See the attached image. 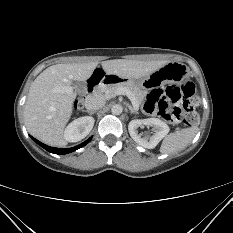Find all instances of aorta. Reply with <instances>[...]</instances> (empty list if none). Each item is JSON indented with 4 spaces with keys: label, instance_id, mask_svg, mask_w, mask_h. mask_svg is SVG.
<instances>
[{
    "label": "aorta",
    "instance_id": "obj_1",
    "mask_svg": "<svg viewBox=\"0 0 233 233\" xmlns=\"http://www.w3.org/2000/svg\"><path fill=\"white\" fill-rule=\"evenodd\" d=\"M113 115H120L123 112V107L120 104H115L111 108Z\"/></svg>",
    "mask_w": 233,
    "mask_h": 233
}]
</instances>
